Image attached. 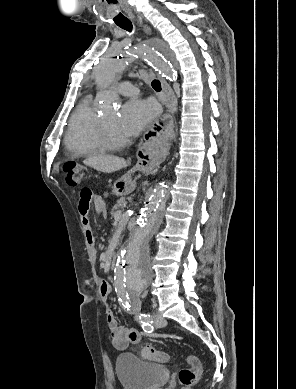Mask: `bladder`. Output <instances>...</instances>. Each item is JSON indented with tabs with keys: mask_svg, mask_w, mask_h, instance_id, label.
Returning <instances> with one entry per match:
<instances>
[{
	"mask_svg": "<svg viewBox=\"0 0 296 389\" xmlns=\"http://www.w3.org/2000/svg\"><path fill=\"white\" fill-rule=\"evenodd\" d=\"M116 374L123 389H160L170 376L166 367L145 362L132 353L117 357Z\"/></svg>",
	"mask_w": 296,
	"mask_h": 389,
	"instance_id": "obj_1",
	"label": "bladder"
}]
</instances>
